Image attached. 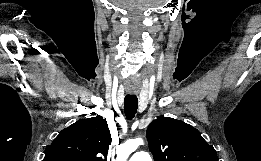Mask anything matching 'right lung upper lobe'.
Returning a JSON list of instances; mask_svg holds the SVG:
<instances>
[{
	"label": "right lung upper lobe",
	"instance_id": "right-lung-upper-lobe-1",
	"mask_svg": "<svg viewBox=\"0 0 261 161\" xmlns=\"http://www.w3.org/2000/svg\"><path fill=\"white\" fill-rule=\"evenodd\" d=\"M110 144L106 119H80L63 129L46 147L43 161H106Z\"/></svg>",
	"mask_w": 261,
	"mask_h": 161
}]
</instances>
